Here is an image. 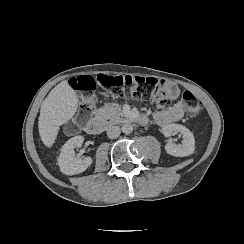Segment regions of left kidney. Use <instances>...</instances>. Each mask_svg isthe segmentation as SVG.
<instances>
[{"instance_id":"obj_1","label":"left kidney","mask_w":244,"mask_h":244,"mask_svg":"<svg viewBox=\"0 0 244 244\" xmlns=\"http://www.w3.org/2000/svg\"><path fill=\"white\" fill-rule=\"evenodd\" d=\"M162 132L165 137H170L174 132L181 133L183 136L182 144H175L171 140L165 145V150L168 154L176 157L189 156L195 150V138L192 132L180 124H168L162 127Z\"/></svg>"}]
</instances>
